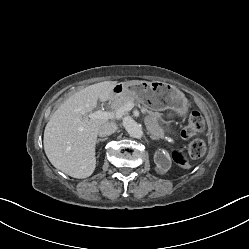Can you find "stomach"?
Masks as SVG:
<instances>
[{"label":"stomach","mask_w":249,"mask_h":249,"mask_svg":"<svg viewBox=\"0 0 249 249\" xmlns=\"http://www.w3.org/2000/svg\"><path fill=\"white\" fill-rule=\"evenodd\" d=\"M112 92L116 95L132 96L155 111L172 109L180 116H185L188 111L185 95L175 86L165 82L132 80L114 85Z\"/></svg>","instance_id":"1"}]
</instances>
